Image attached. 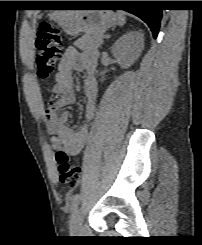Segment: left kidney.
Segmentation results:
<instances>
[{
  "instance_id": "5707ae66",
  "label": "left kidney",
  "mask_w": 202,
  "mask_h": 245,
  "mask_svg": "<svg viewBox=\"0 0 202 245\" xmlns=\"http://www.w3.org/2000/svg\"><path fill=\"white\" fill-rule=\"evenodd\" d=\"M144 48V34L130 31L122 35L113 45L112 54L122 68L130 67Z\"/></svg>"
}]
</instances>
